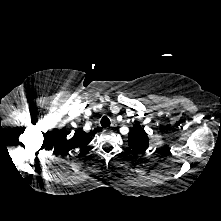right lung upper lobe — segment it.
I'll return each mask as SVG.
<instances>
[{"mask_svg": "<svg viewBox=\"0 0 221 221\" xmlns=\"http://www.w3.org/2000/svg\"><path fill=\"white\" fill-rule=\"evenodd\" d=\"M89 135L84 134L81 131H76L73 136V148H81V151H84L85 146L88 144Z\"/></svg>", "mask_w": 221, "mask_h": 221, "instance_id": "1", "label": "right lung upper lobe"}]
</instances>
